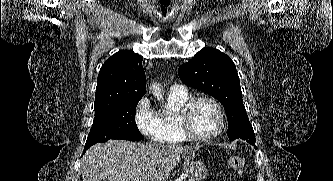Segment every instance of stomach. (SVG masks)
I'll list each match as a JSON object with an SVG mask.
<instances>
[{"mask_svg": "<svg viewBox=\"0 0 333 181\" xmlns=\"http://www.w3.org/2000/svg\"><path fill=\"white\" fill-rule=\"evenodd\" d=\"M183 157L184 172L195 181H202L208 174L206 165L201 161L195 160L194 152H185Z\"/></svg>", "mask_w": 333, "mask_h": 181, "instance_id": "0dacf381", "label": "stomach"}]
</instances>
